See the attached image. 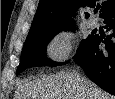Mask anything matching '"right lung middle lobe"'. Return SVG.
Listing matches in <instances>:
<instances>
[{"mask_svg":"<svg viewBox=\"0 0 115 99\" xmlns=\"http://www.w3.org/2000/svg\"><path fill=\"white\" fill-rule=\"evenodd\" d=\"M63 30L74 31V25L45 34L28 36L23 46L20 64L17 68L16 74H19L30 67L62 65L63 63H56L47 59L46 45L57 33ZM91 37L92 35H89L87 39L82 41L81 46L76 55H79L82 52L83 48Z\"/></svg>","mask_w":115,"mask_h":99,"instance_id":"1","label":"right lung middle lobe"}]
</instances>
